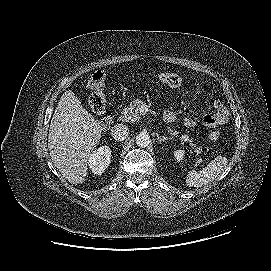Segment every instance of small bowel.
Masks as SVG:
<instances>
[{
	"mask_svg": "<svg viewBox=\"0 0 271 271\" xmlns=\"http://www.w3.org/2000/svg\"><path fill=\"white\" fill-rule=\"evenodd\" d=\"M197 93L201 92L200 88L196 89ZM164 121L167 123H173L177 119V115L175 112L171 110H167L164 112L163 115ZM228 119V111L227 108L224 106L223 103L220 101H214L213 102V111L210 113H206L201 118V123L205 127H215L222 125L225 123ZM184 125L186 127H194L197 125V121L194 118L188 117L184 119Z\"/></svg>",
	"mask_w": 271,
	"mask_h": 271,
	"instance_id": "small-bowel-1",
	"label": "small bowel"
}]
</instances>
